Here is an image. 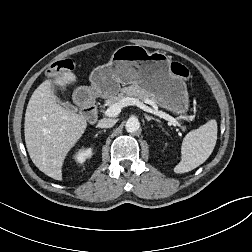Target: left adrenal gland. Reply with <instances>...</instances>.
I'll use <instances>...</instances> for the list:
<instances>
[{"mask_svg":"<svg viewBox=\"0 0 252 252\" xmlns=\"http://www.w3.org/2000/svg\"><path fill=\"white\" fill-rule=\"evenodd\" d=\"M145 118L148 122L150 121H156V122H160L158 119L154 118V117H151V116H148L147 114H145Z\"/></svg>","mask_w":252,"mask_h":252,"instance_id":"left-adrenal-gland-1","label":"left adrenal gland"}]
</instances>
